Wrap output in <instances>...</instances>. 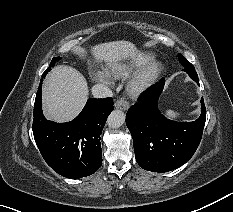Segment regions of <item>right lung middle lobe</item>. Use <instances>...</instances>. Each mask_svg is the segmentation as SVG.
I'll return each mask as SVG.
<instances>
[{
	"mask_svg": "<svg viewBox=\"0 0 233 212\" xmlns=\"http://www.w3.org/2000/svg\"><path fill=\"white\" fill-rule=\"evenodd\" d=\"M58 59H60V57L52 59L50 66L47 68V71H49L51 69V67L56 63V60H58ZM47 71H45L44 73H46Z\"/></svg>",
	"mask_w": 233,
	"mask_h": 212,
	"instance_id": "1",
	"label": "right lung middle lobe"
}]
</instances>
